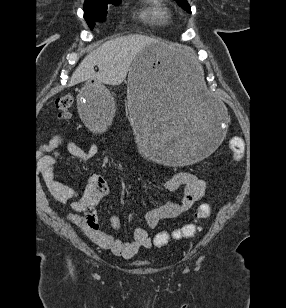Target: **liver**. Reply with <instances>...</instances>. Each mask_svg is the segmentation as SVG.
Listing matches in <instances>:
<instances>
[{"label": "liver", "mask_w": 286, "mask_h": 308, "mask_svg": "<svg viewBox=\"0 0 286 308\" xmlns=\"http://www.w3.org/2000/svg\"><path fill=\"white\" fill-rule=\"evenodd\" d=\"M159 44L166 55L189 64L194 54L186 46L166 44L145 35H127L105 42L90 52L74 71L70 86L86 80H95L100 84L120 85L126 78L136 56L147 46ZM98 67L95 72L94 67Z\"/></svg>", "instance_id": "liver-1"}]
</instances>
